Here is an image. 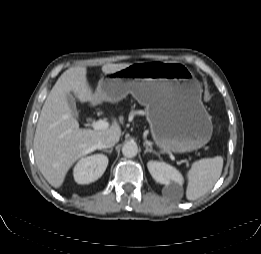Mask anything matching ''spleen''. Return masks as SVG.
<instances>
[{"label":"spleen","instance_id":"3e777b00","mask_svg":"<svg viewBox=\"0 0 261 254\" xmlns=\"http://www.w3.org/2000/svg\"><path fill=\"white\" fill-rule=\"evenodd\" d=\"M222 168L223 158L221 156L204 158L194 162L187 173L186 198L194 201L210 191L220 178Z\"/></svg>","mask_w":261,"mask_h":254}]
</instances>
